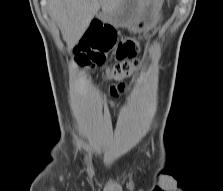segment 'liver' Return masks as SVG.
I'll return each mask as SVG.
<instances>
[{
    "mask_svg": "<svg viewBox=\"0 0 223 191\" xmlns=\"http://www.w3.org/2000/svg\"><path fill=\"white\" fill-rule=\"evenodd\" d=\"M50 16L54 18L70 45L77 42L100 8L112 12L125 0H48Z\"/></svg>",
    "mask_w": 223,
    "mask_h": 191,
    "instance_id": "liver-1",
    "label": "liver"
}]
</instances>
